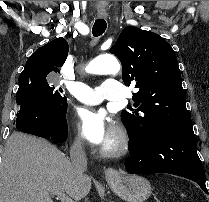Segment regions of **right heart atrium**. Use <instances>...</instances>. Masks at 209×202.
Returning <instances> with one entry per match:
<instances>
[{
  "label": "right heart atrium",
  "instance_id": "1",
  "mask_svg": "<svg viewBox=\"0 0 209 202\" xmlns=\"http://www.w3.org/2000/svg\"><path fill=\"white\" fill-rule=\"evenodd\" d=\"M82 145V139L80 137V135L75 134L73 137V146L74 147H79ZM66 170L67 172L71 173V174H75L76 171L71 167V166H66Z\"/></svg>",
  "mask_w": 209,
  "mask_h": 202
}]
</instances>
